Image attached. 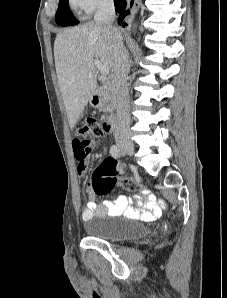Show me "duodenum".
<instances>
[{
	"mask_svg": "<svg viewBox=\"0 0 227 298\" xmlns=\"http://www.w3.org/2000/svg\"><path fill=\"white\" fill-rule=\"evenodd\" d=\"M103 101V92L95 90L91 96V103L94 106H100ZM117 119L115 114H110L103 122V129L106 133H112L116 129Z\"/></svg>",
	"mask_w": 227,
	"mask_h": 298,
	"instance_id": "1",
	"label": "duodenum"
}]
</instances>
